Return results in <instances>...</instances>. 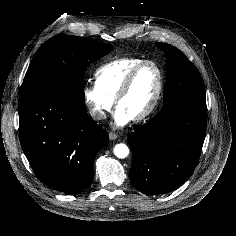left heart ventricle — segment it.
Listing matches in <instances>:
<instances>
[{
    "label": "left heart ventricle",
    "mask_w": 236,
    "mask_h": 236,
    "mask_svg": "<svg viewBox=\"0 0 236 236\" xmlns=\"http://www.w3.org/2000/svg\"><path fill=\"white\" fill-rule=\"evenodd\" d=\"M158 87V72L152 65L144 66L136 75L131 88L119 102L118 108L134 118L151 104Z\"/></svg>",
    "instance_id": "b2bd125f"
}]
</instances>
